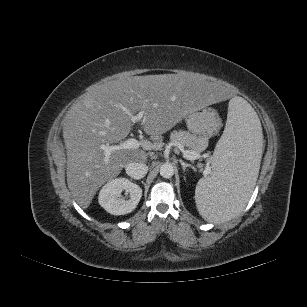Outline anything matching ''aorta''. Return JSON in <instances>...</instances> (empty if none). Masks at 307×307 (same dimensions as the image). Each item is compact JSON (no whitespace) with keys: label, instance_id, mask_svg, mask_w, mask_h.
<instances>
[{"label":"aorta","instance_id":"aorta-1","mask_svg":"<svg viewBox=\"0 0 307 307\" xmlns=\"http://www.w3.org/2000/svg\"><path fill=\"white\" fill-rule=\"evenodd\" d=\"M160 175L163 178H171L174 175V168L171 164L165 163L160 167Z\"/></svg>","mask_w":307,"mask_h":307}]
</instances>
